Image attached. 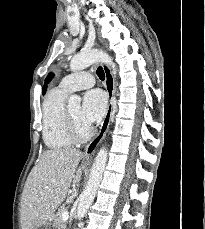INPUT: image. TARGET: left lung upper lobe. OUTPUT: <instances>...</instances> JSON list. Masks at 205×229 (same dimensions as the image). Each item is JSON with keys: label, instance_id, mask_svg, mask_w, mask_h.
Returning <instances> with one entry per match:
<instances>
[{"label": "left lung upper lobe", "instance_id": "5c2ea615", "mask_svg": "<svg viewBox=\"0 0 205 229\" xmlns=\"http://www.w3.org/2000/svg\"><path fill=\"white\" fill-rule=\"evenodd\" d=\"M52 77H53V74H49L48 77L46 78L45 85H44V88H43V94L46 91V84L51 80Z\"/></svg>", "mask_w": 205, "mask_h": 229}]
</instances>
